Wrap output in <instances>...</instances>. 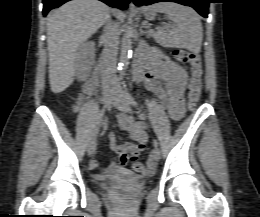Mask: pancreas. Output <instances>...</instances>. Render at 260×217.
Listing matches in <instances>:
<instances>
[{
    "label": "pancreas",
    "mask_w": 260,
    "mask_h": 217,
    "mask_svg": "<svg viewBox=\"0 0 260 217\" xmlns=\"http://www.w3.org/2000/svg\"><path fill=\"white\" fill-rule=\"evenodd\" d=\"M153 35H154L153 32H150V33H149V36H153Z\"/></svg>",
    "instance_id": "obj_1"
}]
</instances>
